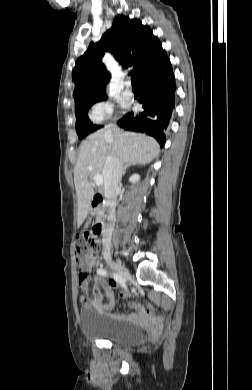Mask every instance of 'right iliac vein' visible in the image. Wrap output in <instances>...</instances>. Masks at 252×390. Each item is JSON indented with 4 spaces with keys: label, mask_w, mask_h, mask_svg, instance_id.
<instances>
[{
    "label": "right iliac vein",
    "mask_w": 252,
    "mask_h": 390,
    "mask_svg": "<svg viewBox=\"0 0 252 390\" xmlns=\"http://www.w3.org/2000/svg\"><path fill=\"white\" fill-rule=\"evenodd\" d=\"M106 261H107L108 265L114 271H116L118 274H121V276H123L125 280H127V281L131 280L130 273L123 265H121L120 263H118L110 258H107Z\"/></svg>",
    "instance_id": "63e3f726"
}]
</instances>
